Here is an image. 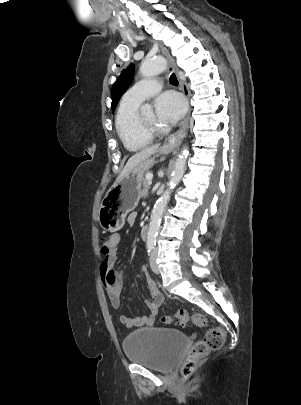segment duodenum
Wrapping results in <instances>:
<instances>
[{"instance_id": "410a0bca", "label": "duodenum", "mask_w": 301, "mask_h": 405, "mask_svg": "<svg viewBox=\"0 0 301 405\" xmlns=\"http://www.w3.org/2000/svg\"><path fill=\"white\" fill-rule=\"evenodd\" d=\"M148 232H149V228L147 226H144L141 230V239L143 241H146L148 238Z\"/></svg>"}]
</instances>
